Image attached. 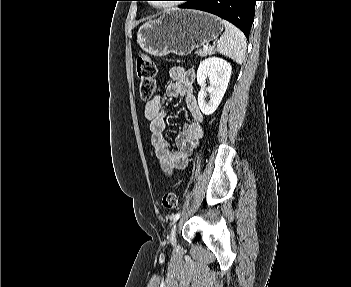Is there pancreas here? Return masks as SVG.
<instances>
[{"mask_svg":"<svg viewBox=\"0 0 351 287\" xmlns=\"http://www.w3.org/2000/svg\"><path fill=\"white\" fill-rule=\"evenodd\" d=\"M214 50L212 48H208V49H199L196 51V54L198 56H201V57H205L207 55H211L213 54Z\"/></svg>","mask_w":351,"mask_h":287,"instance_id":"1","label":"pancreas"}]
</instances>
